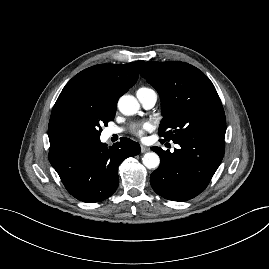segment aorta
<instances>
[{
    "label": "aorta",
    "instance_id": "762f6f07",
    "mask_svg": "<svg viewBox=\"0 0 269 269\" xmlns=\"http://www.w3.org/2000/svg\"><path fill=\"white\" fill-rule=\"evenodd\" d=\"M118 108L124 115H134L140 109V104L134 96L124 95L118 101ZM142 162L148 169H156L160 164V158L155 152L145 153Z\"/></svg>",
    "mask_w": 269,
    "mask_h": 269
}]
</instances>
